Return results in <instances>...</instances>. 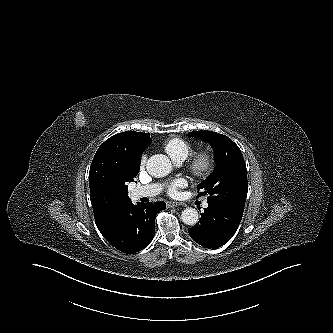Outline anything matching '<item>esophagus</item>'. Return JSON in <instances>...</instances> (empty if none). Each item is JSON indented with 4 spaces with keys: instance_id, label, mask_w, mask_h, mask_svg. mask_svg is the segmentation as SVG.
Segmentation results:
<instances>
[{
    "instance_id": "esophagus-1",
    "label": "esophagus",
    "mask_w": 333,
    "mask_h": 333,
    "mask_svg": "<svg viewBox=\"0 0 333 333\" xmlns=\"http://www.w3.org/2000/svg\"><path fill=\"white\" fill-rule=\"evenodd\" d=\"M166 204H167V207H168V208H171V207H177V206H181V205H183L182 203H179V202H171V201H168Z\"/></svg>"
}]
</instances>
